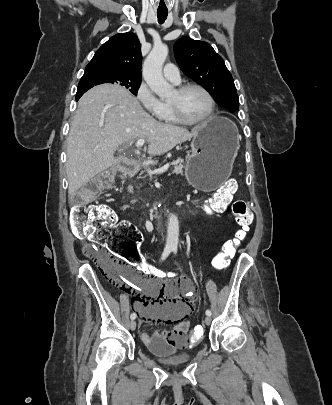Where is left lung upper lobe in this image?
<instances>
[{"instance_id": "1", "label": "left lung upper lobe", "mask_w": 332, "mask_h": 405, "mask_svg": "<svg viewBox=\"0 0 332 405\" xmlns=\"http://www.w3.org/2000/svg\"><path fill=\"white\" fill-rule=\"evenodd\" d=\"M174 54L183 73L210 92L220 106L239 109L232 75L210 44L183 37L176 41Z\"/></svg>"}]
</instances>
